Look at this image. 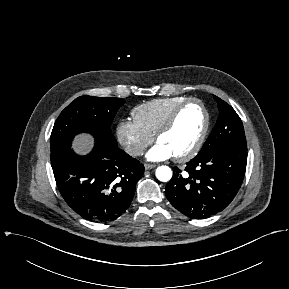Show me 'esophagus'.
Returning <instances> with one entry per match:
<instances>
[{"mask_svg":"<svg viewBox=\"0 0 289 289\" xmlns=\"http://www.w3.org/2000/svg\"><path fill=\"white\" fill-rule=\"evenodd\" d=\"M144 167H145V170H150V169H153L156 167L155 164H148V163H145L144 164Z\"/></svg>","mask_w":289,"mask_h":289,"instance_id":"34e87169","label":"esophagus"}]
</instances>
